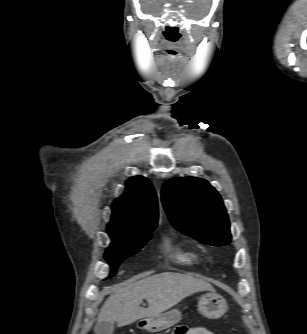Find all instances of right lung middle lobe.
I'll list each match as a JSON object with an SVG mask.
<instances>
[{
  "label": "right lung middle lobe",
  "mask_w": 307,
  "mask_h": 334,
  "mask_svg": "<svg viewBox=\"0 0 307 334\" xmlns=\"http://www.w3.org/2000/svg\"><path fill=\"white\" fill-rule=\"evenodd\" d=\"M154 229L150 228L137 233L110 236L112 242L104 254V258L111 266L109 277L116 274L117 267L124 259L136 254L151 239V232Z\"/></svg>",
  "instance_id": "dd1d6c3e"
}]
</instances>
